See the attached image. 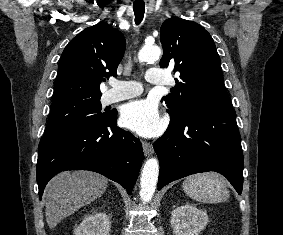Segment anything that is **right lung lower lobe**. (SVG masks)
I'll list each match as a JSON object with an SVG mask.
<instances>
[{
  "label": "right lung lower lobe",
  "instance_id": "1",
  "mask_svg": "<svg viewBox=\"0 0 283 235\" xmlns=\"http://www.w3.org/2000/svg\"><path fill=\"white\" fill-rule=\"evenodd\" d=\"M116 118L117 112H109L92 124L41 139L36 167L40 199L48 181L65 170L95 171L132 192L143 160L142 145L117 127Z\"/></svg>",
  "mask_w": 283,
  "mask_h": 235
}]
</instances>
